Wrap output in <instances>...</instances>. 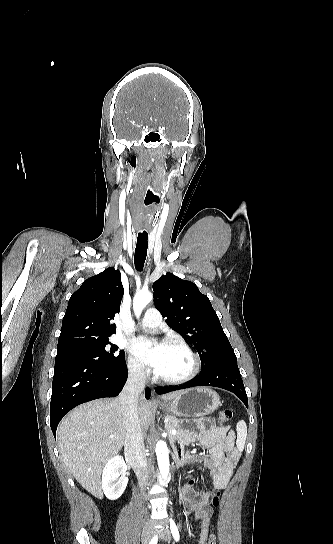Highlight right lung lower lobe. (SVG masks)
<instances>
[{
	"instance_id": "98d812e1",
	"label": "right lung lower lobe",
	"mask_w": 333,
	"mask_h": 544,
	"mask_svg": "<svg viewBox=\"0 0 333 544\" xmlns=\"http://www.w3.org/2000/svg\"><path fill=\"white\" fill-rule=\"evenodd\" d=\"M127 376L126 362L111 368L78 357L56 356L50 403V426L54 435L67 412L87 401L117 396ZM150 394L147 388V399Z\"/></svg>"
}]
</instances>
